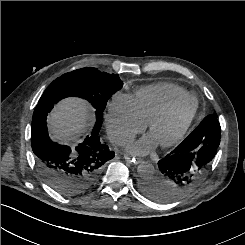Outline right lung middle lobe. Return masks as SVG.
Returning a JSON list of instances; mask_svg holds the SVG:
<instances>
[{"label": "right lung middle lobe", "instance_id": "dd1d6c3e", "mask_svg": "<svg viewBox=\"0 0 245 245\" xmlns=\"http://www.w3.org/2000/svg\"><path fill=\"white\" fill-rule=\"evenodd\" d=\"M122 86L123 82L117 74L100 72L96 68H81L55 79L38 103L55 104L66 97H81L95 108L96 123L93 131L99 132L107 101Z\"/></svg>", "mask_w": 245, "mask_h": 245}]
</instances>
